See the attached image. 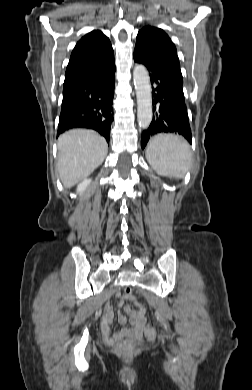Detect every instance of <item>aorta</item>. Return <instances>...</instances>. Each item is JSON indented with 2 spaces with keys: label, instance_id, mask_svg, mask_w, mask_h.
I'll return each instance as SVG.
<instances>
[{
  "label": "aorta",
  "instance_id": "762f6f07",
  "mask_svg": "<svg viewBox=\"0 0 252 390\" xmlns=\"http://www.w3.org/2000/svg\"><path fill=\"white\" fill-rule=\"evenodd\" d=\"M133 80L137 96V119L143 129L149 127L152 121V93L150 78L143 65H136L133 71Z\"/></svg>",
  "mask_w": 252,
  "mask_h": 390
}]
</instances>
